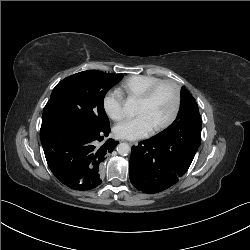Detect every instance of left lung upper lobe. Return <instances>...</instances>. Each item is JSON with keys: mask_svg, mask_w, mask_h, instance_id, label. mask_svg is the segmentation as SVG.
Masks as SVG:
<instances>
[{"mask_svg": "<svg viewBox=\"0 0 250 250\" xmlns=\"http://www.w3.org/2000/svg\"><path fill=\"white\" fill-rule=\"evenodd\" d=\"M180 120H187V121L188 120H193V121L201 120L200 113L198 110V105L195 99L193 98V96L191 95V93L184 86L181 88L180 110H179L177 119L174 121L172 125L176 124L177 121H180ZM170 127H168L167 129H169Z\"/></svg>", "mask_w": 250, "mask_h": 250, "instance_id": "5c2ea615", "label": "left lung upper lobe"}]
</instances>
